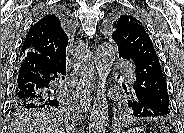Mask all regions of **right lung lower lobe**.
<instances>
[{
    "mask_svg": "<svg viewBox=\"0 0 184 133\" xmlns=\"http://www.w3.org/2000/svg\"><path fill=\"white\" fill-rule=\"evenodd\" d=\"M58 11L71 31L70 17L65 11ZM65 73L66 58L50 60L40 54H27L17 64L14 102L32 106H47L60 101L62 92L54 90L51 82L58 77V74L64 79Z\"/></svg>",
    "mask_w": 184,
    "mask_h": 133,
    "instance_id": "98d812e1",
    "label": "right lung lower lobe"
}]
</instances>
